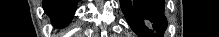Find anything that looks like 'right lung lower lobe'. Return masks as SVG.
<instances>
[{"label": "right lung lower lobe", "mask_w": 219, "mask_h": 37, "mask_svg": "<svg viewBox=\"0 0 219 37\" xmlns=\"http://www.w3.org/2000/svg\"><path fill=\"white\" fill-rule=\"evenodd\" d=\"M76 2V0H44L43 7L52 22L60 27L65 26L71 20Z\"/></svg>", "instance_id": "right-lung-lower-lobe-1"}]
</instances>
